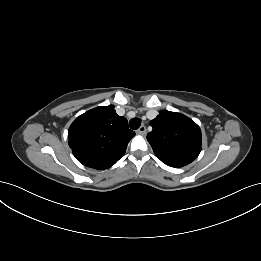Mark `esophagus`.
I'll return each instance as SVG.
<instances>
[{"label": "esophagus", "mask_w": 261, "mask_h": 261, "mask_svg": "<svg viewBox=\"0 0 261 261\" xmlns=\"http://www.w3.org/2000/svg\"><path fill=\"white\" fill-rule=\"evenodd\" d=\"M137 134L139 135L146 134V127L144 125L140 126L139 129L137 130Z\"/></svg>", "instance_id": "34e87169"}]
</instances>
